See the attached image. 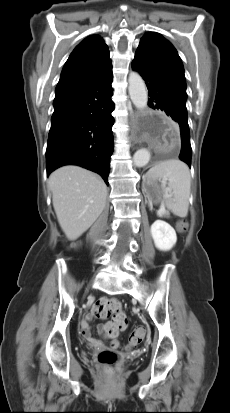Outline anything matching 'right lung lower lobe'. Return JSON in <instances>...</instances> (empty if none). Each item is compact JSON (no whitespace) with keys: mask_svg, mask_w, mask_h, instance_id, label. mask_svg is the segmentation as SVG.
I'll return each instance as SVG.
<instances>
[{"mask_svg":"<svg viewBox=\"0 0 230 413\" xmlns=\"http://www.w3.org/2000/svg\"><path fill=\"white\" fill-rule=\"evenodd\" d=\"M112 78L111 73L78 89L56 93L46 150L47 176L60 166L75 164L100 174L109 185Z\"/></svg>","mask_w":230,"mask_h":413,"instance_id":"right-lung-lower-lobe-1","label":"right lung lower lobe"}]
</instances>
